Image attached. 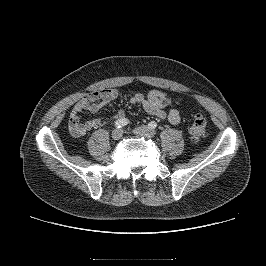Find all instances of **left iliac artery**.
Segmentation results:
<instances>
[{"mask_svg":"<svg viewBox=\"0 0 266 266\" xmlns=\"http://www.w3.org/2000/svg\"><path fill=\"white\" fill-rule=\"evenodd\" d=\"M148 126L151 129H155L157 127V123L155 121H151V122H149Z\"/></svg>","mask_w":266,"mask_h":266,"instance_id":"obj_1","label":"left iliac artery"}]
</instances>
